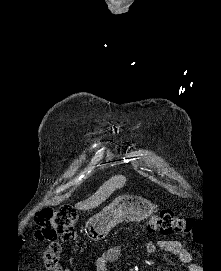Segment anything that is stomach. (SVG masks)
<instances>
[{
    "instance_id": "obj_1",
    "label": "stomach",
    "mask_w": 221,
    "mask_h": 271,
    "mask_svg": "<svg viewBox=\"0 0 221 271\" xmlns=\"http://www.w3.org/2000/svg\"><path fill=\"white\" fill-rule=\"evenodd\" d=\"M146 197H119L104 207L101 213L86 221L85 231L89 239H103L120 221H140L151 213V202Z\"/></svg>"
}]
</instances>
